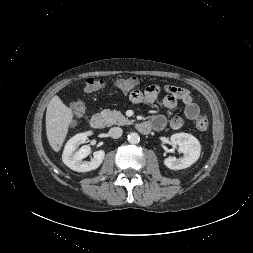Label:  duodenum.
I'll use <instances>...</instances> for the list:
<instances>
[{
	"mask_svg": "<svg viewBox=\"0 0 253 253\" xmlns=\"http://www.w3.org/2000/svg\"><path fill=\"white\" fill-rule=\"evenodd\" d=\"M90 125L94 129H102L106 125V118L101 113L94 114L90 119ZM153 129L150 122H141L137 125V130L141 133H148Z\"/></svg>",
	"mask_w": 253,
	"mask_h": 253,
	"instance_id": "410a0bca",
	"label": "duodenum"
}]
</instances>
